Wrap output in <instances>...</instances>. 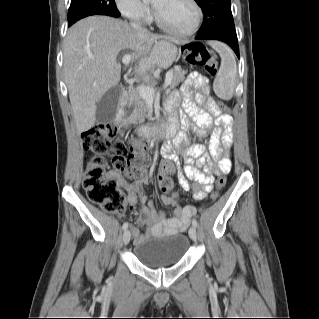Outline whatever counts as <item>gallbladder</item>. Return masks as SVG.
I'll list each match as a JSON object with an SVG mask.
<instances>
[{
  "label": "gallbladder",
  "instance_id": "gallbladder-1",
  "mask_svg": "<svg viewBox=\"0 0 319 319\" xmlns=\"http://www.w3.org/2000/svg\"><path fill=\"white\" fill-rule=\"evenodd\" d=\"M121 86L110 88L96 104V123L106 124L114 120L117 114Z\"/></svg>",
  "mask_w": 319,
  "mask_h": 319
}]
</instances>
